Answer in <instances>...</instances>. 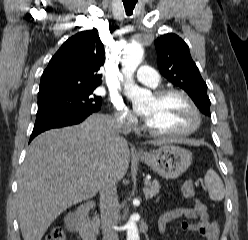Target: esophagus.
Here are the masks:
<instances>
[{
    "instance_id": "1",
    "label": "esophagus",
    "mask_w": 248,
    "mask_h": 240,
    "mask_svg": "<svg viewBox=\"0 0 248 240\" xmlns=\"http://www.w3.org/2000/svg\"><path fill=\"white\" fill-rule=\"evenodd\" d=\"M136 153H141V151H136Z\"/></svg>"
}]
</instances>
